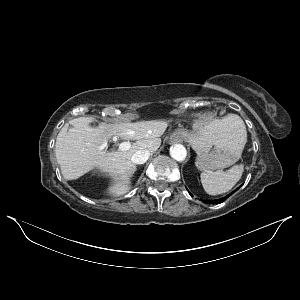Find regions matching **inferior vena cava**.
Listing matches in <instances>:
<instances>
[{
	"instance_id": "obj_1",
	"label": "inferior vena cava",
	"mask_w": 300,
	"mask_h": 300,
	"mask_svg": "<svg viewBox=\"0 0 300 300\" xmlns=\"http://www.w3.org/2000/svg\"><path fill=\"white\" fill-rule=\"evenodd\" d=\"M149 157H150V151L141 149L132 155L131 161L134 164H143L149 159Z\"/></svg>"
}]
</instances>
